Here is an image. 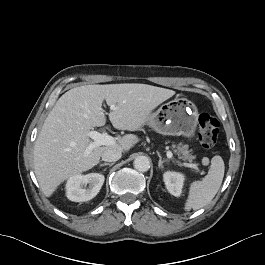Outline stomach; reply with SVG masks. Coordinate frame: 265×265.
Returning <instances> with one entry per match:
<instances>
[{"label": "stomach", "instance_id": "1", "mask_svg": "<svg viewBox=\"0 0 265 265\" xmlns=\"http://www.w3.org/2000/svg\"><path fill=\"white\" fill-rule=\"evenodd\" d=\"M147 123L160 134L191 138L198 124V109L188 99L176 98L151 113Z\"/></svg>", "mask_w": 265, "mask_h": 265}]
</instances>
